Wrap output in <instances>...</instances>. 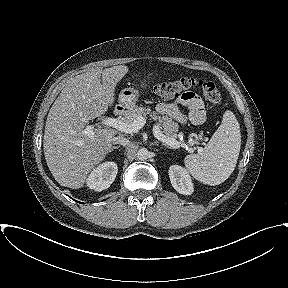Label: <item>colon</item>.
Instances as JSON below:
<instances>
[{
	"instance_id": "1",
	"label": "colon",
	"mask_w": 288,
	"mask_h": 288,
	"mask_svg": "<svg viewBox=\"0 0 288 288\" xmlns=\"http://www.w3.org/2000/svg\"><path fill=\"white\" fill-rule=\"evenodd\" d=\"M192 88H201L204 98L213 105L222 101V96L216 85L211 81L184 77L175 81H168L154 86V92L161 98L181 97Z\"/></svg>"
}]
</instances>
